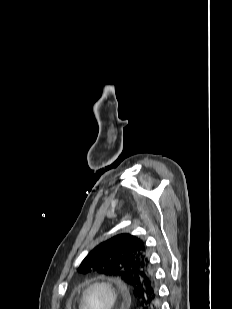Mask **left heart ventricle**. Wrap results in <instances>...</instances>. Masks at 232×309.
I'll return each instance as SVG.
<instances>
[{
    "label": "left heart ventricle",
    "instance_id": "b2bd125f",
    "mask_svg": "<svg viewBox=\"0 0 232 309\" xmlns=\"http://www.w3.org/2000/svg\"><path fill=\"white\" fill-rule=\"evenodd\" d=\"M110 299L102 288H93L86 295V309H107Z\"/></svg>",
    "mask_w": 232,
    "mask_h": 309
}]
</instances>
